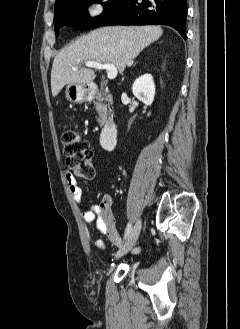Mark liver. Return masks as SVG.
Returning a JSON list of instances; mask_svg holds the SVG:
<instances>
[{"mask_svg":"<svg viewBox=\"0 0 240 329\" xmlns=\"http://www.w3.org/2000/svg\"><path fill=\"white\" fill-rule=\"evenodd\" d=\"M162 33L159 26H116L100 28L81 36L54 58L52 96L56 97L66 84H91L96 75L92 69L82 66L87 61L111 63L123 72ZM75 67L78 70L74 71Z\"/></svg>","mask_w":240,"mask_h":329,"instance_id":"6515ba94","label":"liver"}]
</instances>
